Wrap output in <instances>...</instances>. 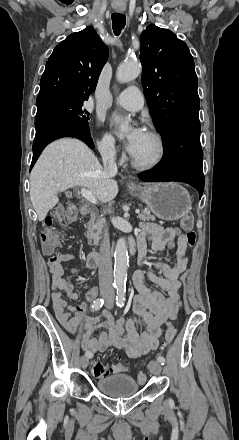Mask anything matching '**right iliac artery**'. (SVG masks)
Masks as SVG:
<instances>
[{
  "instance_id": "82829eb1",
  "label": "right iliac artery",
  "mask_w": 239,
  "mask_h": 440,
  "mask_svg": "<svg viewBox=\"0 0 239 440\" xmlns=\"http://www.w3.org/2000/svg\"><path fill=\"white\" fill-rule=\"evenodd\" d=\"M103 304H104V300L102 298H98V299L93 301L92 308L95 311H97V310H99L103 306ZM85 356H87L88 358H91L92 354L89 353V352H86Z\"/></svg>"
}]
</instances>
